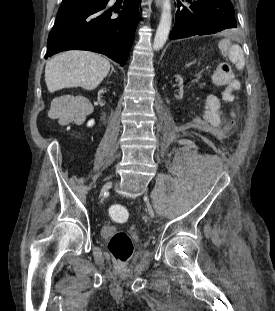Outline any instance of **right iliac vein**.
I'll return each instance as SVG.
<instances>
[{"instance_id": "obj_1", "label": "right iliac vein", "mask_w": 275, "mask_h": 311, "mask_svg": "<svg viewBox=\"0 0 275 311\" xmlns=\"http://www.w3.org/2000/svg\"><path fill=\"white\" fill-rule=\"evenodd\" d=\"M112 183L111 182H107L103 185L100 195H102L104 192H106L110 187H111Z\"/></svg>"}]
</instances>
